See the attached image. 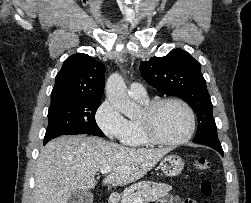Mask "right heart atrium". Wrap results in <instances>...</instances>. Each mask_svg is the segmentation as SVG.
I'll return each instance as SVG.
<instances>
[{"mask_svg":"<svg viewBox=\"0 0 251 203\" xmlns=\"http://www.w3.org/2000/svg\"><path fill=\"white\" fill-rule=\"evenodd\" d=\"M95 122L109 139L121 140L127 130V119L110 100H104L95 112Z\"/></svg>","mask_w":251,"mask_h":203,"instance_id":"right-heart-atrium-1","label":"right heart atrium"}]
</instances>
